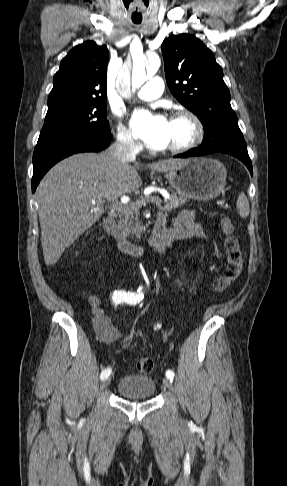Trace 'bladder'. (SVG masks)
<instances>
[{"mask_svg":"<svg viewBox=\"0 0 287 486\" xmlns=\"http://www.w3.org/2000/svg\"><path fill=\"white\" fill-rule=\"evenodd\" d=\"M117 391L124 397L147 399L153 397L155 394L156 384L151 376L129 374L119 379Z\"/></svg>","mask_w":287,"mask_h":486,"instance_id":"bladder-1","label":"bladder"}]
</instances>
